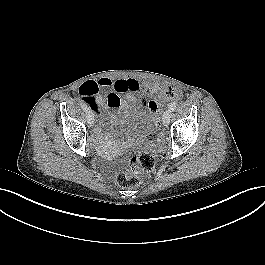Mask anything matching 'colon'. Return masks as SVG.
Masks as SVG:
<instances>
[{"instance_id": "1", "label": "colon", "mask_w": 265, "mask_h": 265, "mask_svg": "<svg viewBox=\"0 0 265 265\" xmlns=\"http://www.w3.org/2000/svg\"><path fill=\"white\" fill-rule=\"evenodd\" d=\"M174 90L168 87L164 91L165 97H172ZM110 99L118 102L115 95L111 94ZM149 104L156 109L157 104L155 101L149 102ZM154 138L149 137V141L153 142ZM156 157L152 152L145 151L135 154L130 161L129 168L120 173L117 177V184L123 188H133L141 183L143 176L151 172L155 166Z\"/></svg>"}]
</instances>
